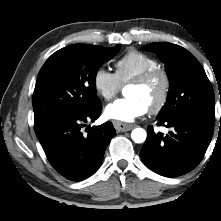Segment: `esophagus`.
Returning <instances> with one entry per match:
<instances>
[{
	"label": "esophagus",
	"instance_id": "obj_1",
	"mask_svg": "<svg viewBox=\"0 0 221 221\" xmlns=\"http://www.w3.org/2000/svg\"><path fill=\"white\" fill-rule=\"evenodd\" d=\"M113 124L115 129L119 132L130 131L135 127L133 124H127L120 121H114Z\"/></svg>",
	"mask_w": 221,
	"mask_h": 221
}]
</instances>
